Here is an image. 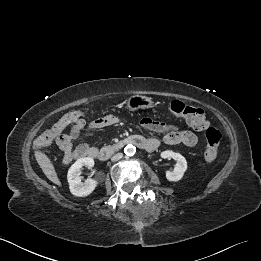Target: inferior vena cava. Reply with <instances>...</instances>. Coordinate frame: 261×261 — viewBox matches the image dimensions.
Segmentation results:
<instances>
[{
	"label": "inferior vena cava",
	"instance_id": "602c4592",
	"mask_svg": "<svg viewBox=\"0 0 261 261\" xmlns=\"http://www.w3.org/2000/svg\"><path fill=\"white\" fill-rule=\"evenodd\" d=\"M122 157H123V154H122V153H117V154H115V155L112 156L111 160H112L113 162H116V161L120 160Z\"/></svg>",
	"mask_w": 261,
	"mask_h": 261
}]
</instances>
